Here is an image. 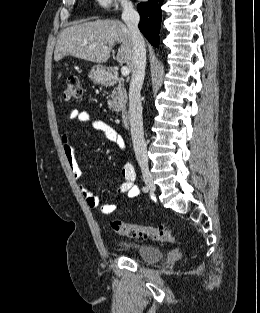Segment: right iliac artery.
<instances>
[{"label": "right iliac artery", "instance_id": "obj_1", "mask_svg": "<svg viewBox=\"0 0 260 313\" xmlns=\"http://www.w3.org/2000/svg\"><path fill=\"white\" fill-rule=\"evenodd\" d=\"M142 190H143L144 192H147V191H148V189H147L146 187H144V186H143ZM137 191H138V188H137Z\"/></svg>", "mask_w": 260, "mask_h": 313}]
</instances>
